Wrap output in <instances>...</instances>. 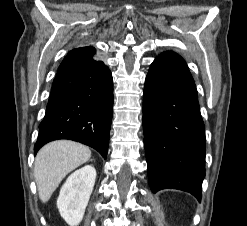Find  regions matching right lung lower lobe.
Here are the masks:
<instances>
[{
	"label": "right lung lower lobe",
	"instance_id": "1",
	"mask_svg": "<svg viewBox=\"0 0 247 226\" xmlns=\"http://www.w3.org/2000/svg\"><path fill=\"white\" fill-rule=\"evenodd\" d=\"M93 47L68 52L53 81L34 153L46 143L70 139L107 157L112 121L113 80Z\"/></svg>",
	"mask_w": 247,
	"mask_h": 226
}]
</instances>
